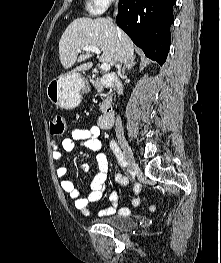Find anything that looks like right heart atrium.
I'll list each match as a JSON object with an SVG mask.
<instances>
[{
  "label": "right heart atrium",
  "instance_id": "d8ad5b80",
  "mask_svg": "<svg viewBox=\"0 0 221 263\" xmlns=\"http://www.w3.org/2000/svg\"><path fill=\"white\" fill-rule=\"evenodd\" d=\"M117 1L118 0H87V9L91 14L99 15Z\"/></svg>",
  "mask_w": 221,
  "mask_h": 263
}]
</instances>
